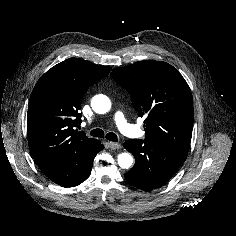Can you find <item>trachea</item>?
Wrapping results in <instances>:
<instances>
[{
  "label": "trachea",
  "instance_id": "3493384b",
  "mask_svg": "<svg viewBox=\"0 0 236 236\" xmlns=\"http://www.w3.org/2000/svg\"><path fill=\"white\" fill-rule=\"evenodd\" d=\"M90 135L94 137H99V138H103L105 136V138L109 141H113V142L118 141L117 135L115 133L109 132L105 135L104 131L99 128L93 129L92 131H90Z\"/></svg>",
  "mask_w": 236,
  "mask_h": 236
}]
</instances>
